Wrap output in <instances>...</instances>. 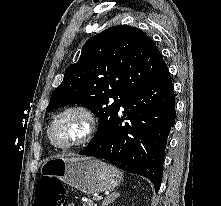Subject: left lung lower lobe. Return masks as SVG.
<instances>
[{
  "instance_id": "obj_1",
  "label": "left lung lower lobe",
  "mask_w": 221,
  "mask_h": 206,
  "mask_svg": "<svg viewBox=\"0 0 221 206\" xmlns=\"http://www.w3.org/2000/svg\"><path fill=\"white\" fill-rule=\"evenodd\" d=\"M173 85L167 69L159 77L134 92L121 106L106 134L79 154L104 158L116 167L150 179L156 192L161 180L164 153L175 123ZM130 123L122 125L123 120Z\"/></svg>"
}]
</instances>
